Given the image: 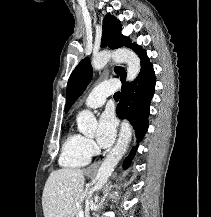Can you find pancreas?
<instances>
[{
	"label": "pancreas",
	"mask_w": 211,
	"mask_h": 217,
	"mask_svg": "<svg viewBox=\"0 0 211 217\" xmlns=\"http://www.w3.org/2000/svg\"><path fill=\"white\" fill-rule=\"evenodd\" d=\"M80 208L75 207L70 217H79Z\"/></svg>",
	"instance_id": "pancreas-1"
}]
</instances>
